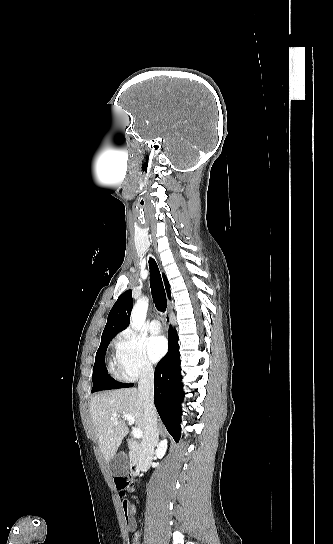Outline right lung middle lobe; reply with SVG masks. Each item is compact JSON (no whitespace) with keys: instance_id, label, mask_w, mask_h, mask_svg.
Listing matches in <instances>:
<instances>
[{"instance_id":"1","label":"right lung middle lobe","mask_w":333,"mask_h":544,"mask_svg":"<svg viewBox=\"0 0 333 544\" xmlns=\"http://www.w3.org/2000/svg\"><path fill=\"white\" fill-rule=\"evenodd\" d=\"M112 338L101 340L100 346L96 353V359L93 367V388L92 393L128 387L130 384L120 383L114 380L109 374L105 366V354L107 347Z\"/></svg>"}]
</instances>
